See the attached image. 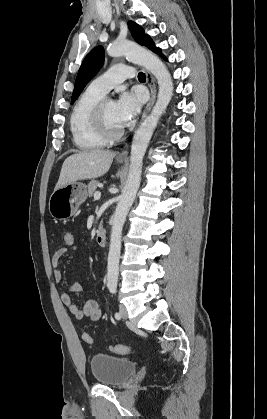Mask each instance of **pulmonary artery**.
Here are the masks:
<instances>
[{
  "instance_id": "1",
  "label": "pulmonary artery",
  "mask_w": 267,
  "mask_h": 419,
  "mask_svg": "<svg viewBox=\"0 0 267 419\" xmlns=\"http://www.w3.org/2000/svg\"><path fill=\"white\" fill-rule=\"evenodd\" d=\"M134 70L130 66L116 64L110 67L105 73L95 78L89 87L106 94L114 86L122 83L127 78L134 77Z\"/></svg>"
}]
</instances>
